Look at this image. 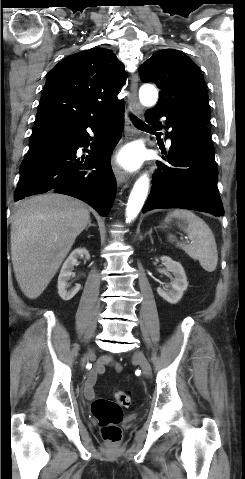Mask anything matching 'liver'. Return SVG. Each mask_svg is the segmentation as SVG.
I'll list each match as a JSON object with an SVG mask.
<instances>
[{
  "label": "liver",
  "mask_w": 245,
  "mask_h": 479,
  "mask_svg": "<svg viewBox=\"0 0 245 479\" xmlns=\"http://www.w3.org/2000/svg\"><path fill=\"white\" fill-rule=\"evenodd\" d=\"M90 221L85 204L63 194L38 195L17 204L11 259L26 297L35 299L43 293Z\"/></svg>",
  "instance_id": "1"
}]
</instances>
